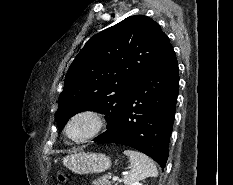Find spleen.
<instances>
[{
    "instance_id": "1",
    "label": "spleen",
    "mask_w": 233,
    "mask_h": 185,
    "mask_svg": "<svg viewBox=\"0 0 233 185\" xmlns=\"http://www.w3.org/2000/svg\"><path fill=\"white\" fill-rule=\"evenodd\" d=\"M124 154L129 157L130 170L124 175L125 185H133L147 177H157L158 170L154 162L145 154L134 150H125Z\"/></svg>"
}]
</instances>
